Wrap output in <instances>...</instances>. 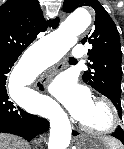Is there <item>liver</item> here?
Returning a JSON list of instances; mask_svg holds the SVG:
<instances>
[{
    "instance_id": "6515ba94",
    "label": "liver",
    "mask_w": 124,
    "mask_h": 149,
    "mask_svg": "<svg viewBox=\"0 0 124 149\" xmlns=\"http://www.w3.org/2000/svg\"><path fill=\"white\" fill-rule=\"evenodd\" d=\"M0 149H24V142L15 136L0 134Z\"/></svg>"
}]
</instances>
